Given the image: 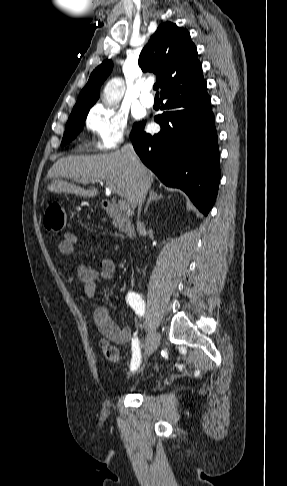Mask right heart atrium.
I'll use <instances>...</instances> for the list:
<instances>
[{
  "instance_id": "1",
  "label": "right heart atrium",
  "mask_w": 287,
  "mask_h": 486,
  "mask_svg": "<svg viewBox=\"0 0 287 486\" xmlns=\"http://www.w3.org/2000/svg\"><path fill=\"white\" fill-rule=\"evenodd\" d=\"M85 125L95 137L94 147L102 151L117 148L128 133L127 115L115 107L102 104L90 110Z\"/></svg>"
}]
</instances>
